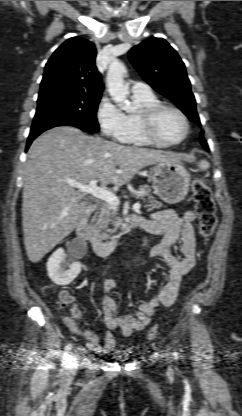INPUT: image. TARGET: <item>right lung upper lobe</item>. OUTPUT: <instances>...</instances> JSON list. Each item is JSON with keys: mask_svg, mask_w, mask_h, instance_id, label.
<instances>
[{"mask_svg": "<svg viewBox=\"0 0 242 416\" xmlns=\"http://www.w3.org/2000/svg\"><path fill=\"white\" fill-rule=\"evenodd\" d=\"M93 43L73 37L55 50L45 66L39 95L55 91L100 94L101 76L95 66Z\"/></svg>", "mask_w": 242, "mask_h": 416, "instance_id": "obj_1", "label": "right lung upper lobe"}]
</instances>
